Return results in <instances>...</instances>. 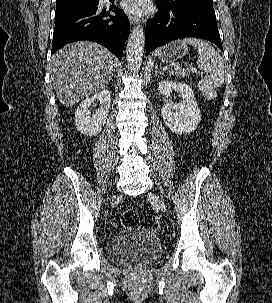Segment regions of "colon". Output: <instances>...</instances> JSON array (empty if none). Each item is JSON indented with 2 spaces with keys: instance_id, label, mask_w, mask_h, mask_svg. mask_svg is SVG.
Masks as SVG:
<instances>
[{
  "instance_id": "obj_1",
  "label": "colon",
  "mask_w": 272,
  "mask_h": 303,
  "mask_svg": "<svg viewBox=\"0 0 272 303\" xmlns=\"http://www.w3.org/2000/svg\"><path fill=\"white\" fill-rule=\"evenodd\" d=\"M121 223L124 227H134L139 223V215L132 209L125 210L121 215Z\"/></svg>"
}]
</instances>
